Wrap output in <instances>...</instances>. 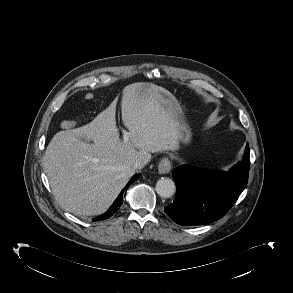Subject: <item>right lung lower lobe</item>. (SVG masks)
I'll return each instance as SVG.
<instances>
[{
    "instance_id": "98d812e1",
    "label": "right lung lower lobe",
    "mask_w": 293,
    "mask_h": 293,
    "mask_svg": "<svg viewBox=\"0 0 293 293\" xmlns=\"http://www.w3.org/2000/svg\"><path fill=\"white\" fill-rule=\"evenodd\" d=\"M136 178H137V175H135L128 182V184L126 185L125 188H127ZM125 188L121 191V193L119 194L117 199L114 201L112 206L109 208V210L105 214L93 219V221H100V220L108 219L109 217H111L114 213H116L119 210V208H120V206L122 205V202H123V193H124Z\"/></svg>"
}]
</instances>
